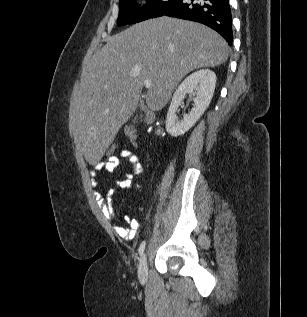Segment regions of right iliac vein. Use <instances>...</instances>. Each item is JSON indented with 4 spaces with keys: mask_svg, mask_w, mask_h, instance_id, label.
Segmentation results:
<instances>
[{
    "mask_svg": "<svg viewBox=\"0 0 307 317\" xmlns=\"http://www.w3.org/2000/svg\"><path fill=\"white\" fill-rule=\"evenodd\" d=\"M138 278L141 283H146L148 280V264H147V258L145 255L141 257L139 262Z\"/></svg>",
    "mask_w": 307,
    "mask_h": 317,
    "instance_id": "right-iliac-vein-1",
    "label": "right iliac vein"
}]
</instances>
